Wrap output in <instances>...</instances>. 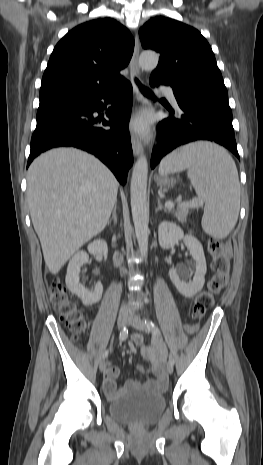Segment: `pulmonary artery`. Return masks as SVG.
I'll return each instance as SVG.
<instances>
[{"mask_svg": "<svg viewBox=\"0 0 263 465\" xmlns=\"http://www.w3.org/2000/svg\"><path fill=\"white\" fill-rule=\"evenodd\" d=\"M161 90L164 93V95L168 98L169 101H171L173 104H177L176 97L174 95L172 88L162 87Z\"/></svg>", "mask_w": 263, "mask_h": 465, "instance_id": "1", "label": "pulmonary artery"}]
</instances>
